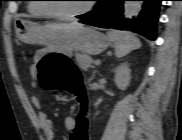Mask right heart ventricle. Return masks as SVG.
<instances>
[{
	"label": "right heart ventricle",
	"mask_w": 182,
	"mask_h": 140,
	"mask_svg": "<svg viewBox=\"0 0 182 140\" xmlns=\"http://www.w3.org/2000/svg\"><path fill=\"white\" fill-rule=\"evenodd\" d=\"M32 2L28 5V13L33 17H46L50 16L45 8V4L38 3L42 0H31Z\"/></svg>",
	"instance_id": "e07e8e85"
}]
</instances>
